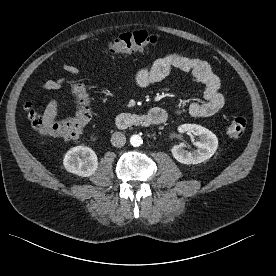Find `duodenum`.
I'll use <instances>...</instances> for the list:
<instances>
[{
    "label": "duodenum",
    "instance_id": "obj_1",
    "mask_svg": "<svg viewBox=\"0 0 276 276\" xmlns=\"http://www.w3.org/2000/svg\"><path fill=\"white\" fill-rule=\"evenodd\" d=\"M166 120V113L163 110H157L154 114L122 113L116 118V125L121 129L131 127H149L159 125Z\"/></svg>",
    "mask_w": 276,
    "mask_h": 276
}]
</instances>
